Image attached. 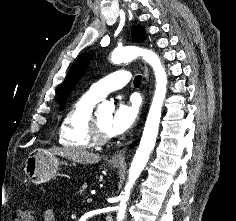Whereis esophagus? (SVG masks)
<instances>
[{
  "instance_id": "34e87169",
  "label": "esophagus",
  "mask_w": 236,
  "mask_h": 221,
  "mask_svg": "<svg viewBox=\"0 0 236 221\" xmlns=\"http://www.w3.org/2000/svg\"><path fill=\"white\" fill-rule=\"evenodd\" d=\"M148 76H149L148 68L146 66H144V78H145L146 83H148ZM131 142H132V140H130L122 150H120L117 154H115L111 158V162H113V163L124 162V157H125V153L127 151V147Z\"/></svg>"
}]
</instances>
